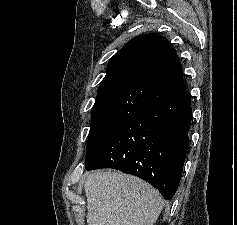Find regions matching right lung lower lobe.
<instances>
[{"mask_svg":"<svg viewBox=\"0 0 237 225\" xmlns=\"http://www.w3.org/2000/svg\"><path fill=\"white\" fill-rule=\"evenodd\" d=\"M191 118L187 91L151 106L98 144L85 157V169L113 168L135 175L169 200L181 179Z\"/></svg>","mask_w":237,"mask_h":225,"instance_id":"98d812e1","label":"right lung lower lobe"}]
</instances>
